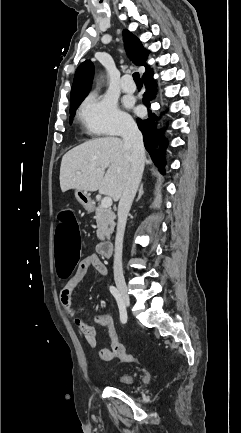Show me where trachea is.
I'll return each mask as SVG.
<instances>
[{"instance_id":"3493384b","label":"trachea","mask_w":241,"mask_h":433,"mask_svg":"<svg viewBox=\"0 0 241 433\" xmlns=\"http://www.w3.org/2000/svg\"><path fill=\"white\" fill-rule=\"evenodd\" d=\"M133 79H134V81H135L136 84L142 85V81H141V78H140V75H139L138 72H135L133 74Z\"/></svg>"}]
</instances>
